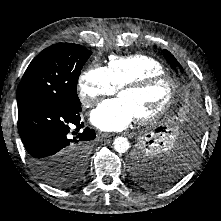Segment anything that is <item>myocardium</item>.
I'll return each mask as SVG.
<instances>
[{"mask_svg":"<svg viewBox=\"0 0 221 221\" xmlns=\"http://www.w3.org/2000/svg\"><path fill=\"white\" fill-rule=\"evenodd\" d=\"M161 80H167L171 85V94H170L168 101L161 109H159L155 113L136 118V122L138 124L146 125V124L155 123L158 120L162 119L172 109V107L174 106L177 100V96H178V92L180 88V83L178 79L174 77L173 75L169 73H165V72L157 73V74H149L135 81L125 83L119 88L118 94L126 90L138 91V90L145 89L149 87L150 85L156 82H159Z\"/></svg>","mask_w":221,"mask_h":221,"instance_id":"myocardium-1","label":"myocardium"}]
</instances>
